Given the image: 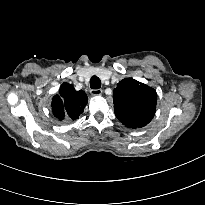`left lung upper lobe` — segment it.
<instances>
[{"label": "left lung upper lobe", "mask_w": 205, "mask_h": 205, "mask_svg": "<svg viewBox=\"0 0 205 205\" xmlns=\"http://www.w3.org/2000/svg\"><path fill=\"white\" fill-rule=\"evenodd\" d=\"M115 115L132 129L147 125L156 111V91L133 79L125 78L117 84L113 93Z\"/></svg>", "instance_id": "left-lung-upper-lobe-1"}]
</instances>
